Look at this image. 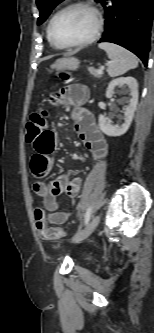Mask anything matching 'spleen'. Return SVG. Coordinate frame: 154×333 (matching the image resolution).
I'll return each mask as SVG.
<instances>
[{"label": "spleen", "mask_w": 154, "mask_h": 333, "mask_svg": "<svg viewBox=\"0 0 154 333\" xmlns=\"http://www.w3.org/2000/svg\"><path fill=\"white\" fill-rule=\"evenodd\" d=\"M98 46L100 49L106 51L111 60L107 68L110 77L120 76L138 66L137 57L125 48L106 42L100 43Z\"/></svg>", "instance_id": "obj_1"}]
</instances>
